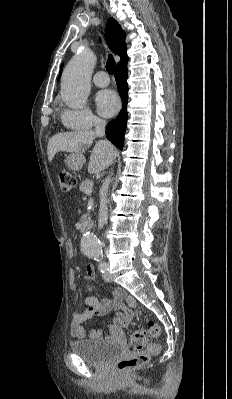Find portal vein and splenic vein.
<instances>
[{
  "label": "portal vein and splenic vein",
  "instance_id": "18ae733b",
  "mask_svg": "<svg viewBox=\"0 0 232 399\" xmlns=\"http://www.w3.org/2000/svg\"><path fill=\"white\" fill-rule=\"evenodd\" d=\"M85 194H87V196H91L92 190H86Z\"/></svg>",
  "mask_w": 232,
  "mask_h": 399
}]
</instances>
